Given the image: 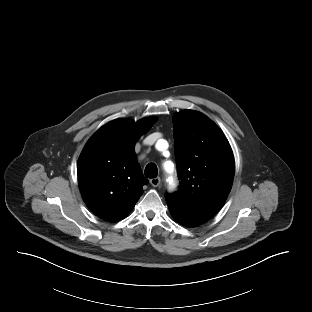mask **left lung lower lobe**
Listing matches in <instances>:
<instances>
[{
    "mask_svg": "<svg viewBox=\"0 0 312 312\" xmlns=\"http://www.w3.org/2000/svg\"><path fill=\"white\" fill-rule=\"evenodd\" d=\"M175 218V217H174ZM179 223H181V224H183V225H185V226H188V227H192V226H197V225H195V224H193V223H191V222H189V221H184V220H179V219H177V218H175Z\"/></svg>",
    "mask_w": 312,
    "mask_h": 312,
    "instance_id": "1",
    "label": "left lung lower lobe"
}]
</instances>
